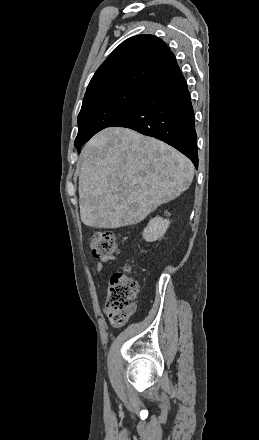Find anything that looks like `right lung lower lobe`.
<instances>
[{"label":"right lung lower lobe","instance_id":"obj_1","mask_svg":"<svg viewBox=\"0 0 259 440\" xmlns=\"http://www.w3.org/2000/svg\"><path fill=\"white\" fill-rule=\"evenodd\" d=\"M126 127L157 138L198 167L194 111L186 80L176 65L150 87L139 102L109 127Z\"/></svg>","mask_w":259,"mask_h":440}]
</instances>
